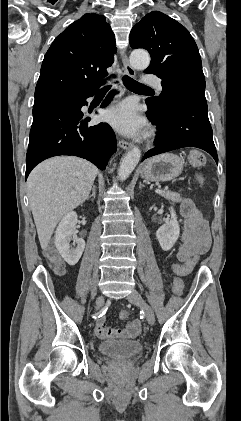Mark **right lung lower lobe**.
I'll use <instances>...</instances> for the list:
<instances>
[{"label":"right lung lower lobe","mask_w":241,"mask_h":421,"mask_svg":"<svg viewBox=\"0 0 241 421\" xmlns=\"http://www.w3.org/2000/svg\"><path fill=\"white\" fill-rule=\"evenodd\" d=\"M98 90L74 92L54 96L34 104L33 123L26 155L27 179L41 161L58 155H74L89 160L104 170L110 156L117 149L112 128L107 123L88 126L90 117L83 116L86 99ZM110 92L101 107L112 99Z\"/></svg>","instance_id":"98d812e1"}]
</instances>
